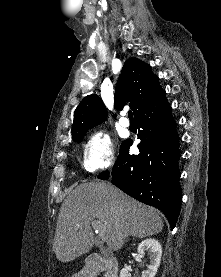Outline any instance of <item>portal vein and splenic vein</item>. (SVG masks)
<instances>
[{
	"label": "portal vein and splenic vein",
	"instance_id": "1",
	"mask_svg": "<svg viewBox=\"0 0 221 277\" xmlns=\"http://www.w3.org/2000/svg\"><path fill=\"white\" fill-rule=\"evenodd\" d=\"M92 227L97 231L98 235L100 237H104L105 235V229L100 226V223L98 221H93L91 223Z\"/></svg>",
	"mask_w": 221,
	"mask_h": 277
}]
</instances>
